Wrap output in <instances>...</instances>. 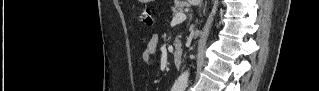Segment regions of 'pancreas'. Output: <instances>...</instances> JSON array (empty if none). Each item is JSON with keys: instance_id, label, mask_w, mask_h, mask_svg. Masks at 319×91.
Returning <instances> with one entry per match:
<instances>
[{"instance_id": "obj_1", "label": "pancreas", "mask_w": 319, "mask_h": 91, "mask_svg": "<svg viewBox=\"0 0 319 91\" xmlns=\"http://www.w3.org/2000/svg\"><path fill=\"white\" fill-rule=\"evenodd\" d=\"M179 3L178 4H174V6L172 7V11H173V13L174 14H176V13H178L179 11H183V9H184V6L186 5V3H181V1H178ZM175 45H180V43H179V41L178 40H176L175 41Z\"/></svg>"}]
</instances>
